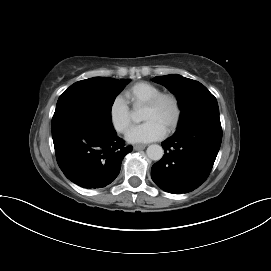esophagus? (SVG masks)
<instances>
[{
  "mask_svg": "<svg viewBox=\"0 0 271 271\" xmlns=\"http://www.w3.org/2000/svg\"><path fill=\"white\" fill-rule=\"evenodd\" d=\"M146 145L143 144H137L134 146V150L139 151L145 149Z\"/></svg>",
  "mask_w": 271,
  "mask_h": 271,
  "instance_id": "34e87169",
  "label": "esophagus"
}]
</instances>
